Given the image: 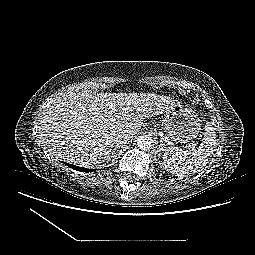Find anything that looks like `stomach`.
Here are the masks:
<instances>
[{
    "mask_svg": "<svg viewBox=\"0 0 255 255\" xmlns=\"http://www.w3.org/2000/svg\"><path fill=\"white\" fill-rule=\"evenodd\" d=\"M163 123L167 136L178 143L192 141L201 129L198 115L176 102L165 110Z\"/></svg>",
    "mask_w": 255,
    "mask_h": 255,
    "instance_id": "stomach-1",
    "label": "stomach"
}]
</instances>
